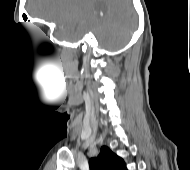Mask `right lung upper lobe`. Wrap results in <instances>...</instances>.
<instances>
[{"instance_id": "obj_1", "label": "right lung upper lobe", "mask_w": 190, "mask_h": 170, "mask_svg": "<svg viewBox=\"0 0 190 170\" xmlns=\"http://www.w3.org/2000/svg\"><path fill=\"white\" fill-rule=\"evenodd\" d=\"M90 170H127L122 158L103 146L97 157L89 160Z\"/></svg>"}]
</instances>
